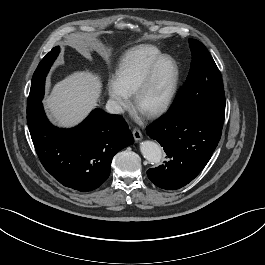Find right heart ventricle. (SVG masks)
Returning a JSON list of instances; mask_svg holds the SVG:
<instances>
[{
    "instance_id": "obj_1",
    "label": "right heart ventricle",
    "mask_w": 265,
    "mask_h": 265,
    "mask_svg": "<svg viewBox=\"0 0 265 265\" xmlns=\"http://www.w3.org/2000/svg\"><path fill=\"white\" fill-rule=\"evenodd\" d=\"M162 55L157 47L150 44L130 49L119 62L113 82L124 94L131 96L150 65Z\"/></svg>"
}]
</instances>
